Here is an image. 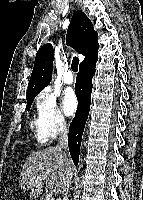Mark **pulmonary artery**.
Instances as JSON below:
<instances>
[{"label":"pulmonary artery","instance_id":"e3ab8cb5","mask_svg":"<svg viewBox=\"0 0 143 200\" xmlns=\"http://www.w3.org/2000/svg\"><path fill=\"white\" fill-rule=\"evenodd\" d=\"M63 82L65 84H72L74 82V77L71 71H67L63 76Z\"/></svg>","mask_w":143,"mask_h":200}]
</instances>
